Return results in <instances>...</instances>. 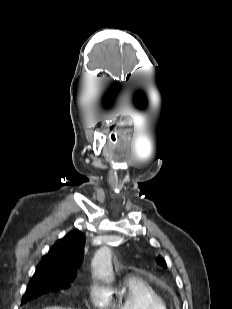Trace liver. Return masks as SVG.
Segmentation results:
<instances>
[{
	"label": "liver",
	"instance_id": "6515ba94",
	"mask_svg": "<svg viewBox=\"0 0 232 309\" xmlns=\"http://www.w3.org/2000/svg\"><path fill=\"white\" fill-rule=\"evenodd\" d=\"M44 309H71V308H61V307L54 306V307H47Z\"/></svg>",
	"mask_w": 232,
	"mask_h": 309
}]
</instances>
